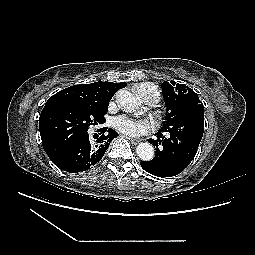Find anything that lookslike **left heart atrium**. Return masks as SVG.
<instances>
[{"mask_svg": "<svg viewBox=\"0 0 255 255\" xmlns=\"http://www.w3.org/2000/svg\"><path fill=\"white\" fill-rule=\"evenodd\" d=\"M112 125L118 131L131 136L144 135L154 127V123L149 119H134L127 115L115 117Z\"/></svg>", "mask_w": 255, "mask_h": 255, "instance_id": "left-heart-atrium-1", "label": "left heart atrium"}]
</instances>
